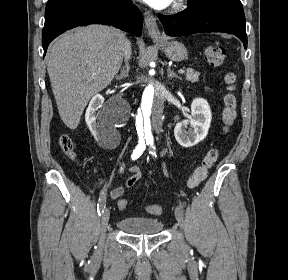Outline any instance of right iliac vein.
I'll use <instances>...</instances> for the list:
<instances>
[{"mask_svg": "<svg viewBox=\"0 0 288 280\" xmlns=\"http://www.w3.org/2000/svg\"><path fill=\"white\" fill-rule=\"evenodd\" d=\"M109 217H110V212L108 209H105L104 212L102 213L101 223H100V229H101V240L99 243L100 248L103 245V238H104V234L106 232L107 226H108Z\"/></svg>", "mask_w": 288, "mask_h": 280, "instance_id": "obj_1", "label": "right iliac vein"}]
</instances>
